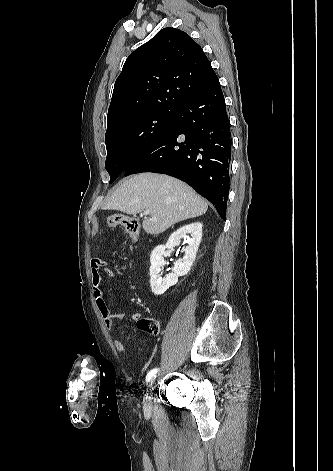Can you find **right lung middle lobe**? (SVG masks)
<instances>
[{
  "label": "right lung middle lobe",
  "mask_w": 333,
  "mask_h": 471,
  "mask_svg": "<svg viewBox=\"0 0 333 471\" xmlns=\"http://www.w3.org/2000/svg\"><path fill=\"white\" fill-rule=\"evenodd\" d=\"M174 117V112L150 110L120 118L107 127L105 167L110 183L173 124Z\"/></svg>",
  "instance_id": "dd1d6c3e"
}]
</instances>
